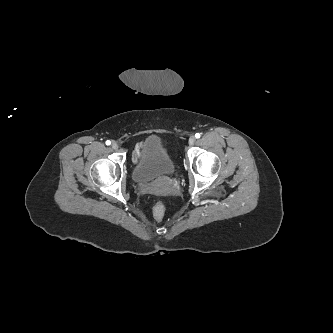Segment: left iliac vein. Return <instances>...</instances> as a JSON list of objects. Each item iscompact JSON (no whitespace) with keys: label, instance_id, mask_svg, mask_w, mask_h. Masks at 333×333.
<instances>
[{"label":"left iliac vein","instance_id":"1","mask_svg":"<svg viewBox=\"0 0 333 333\" xmlns=\"http://www.w3.org/2000/svg\"><path fill=\"white\" fill-rule=\"evenodd\" d=\"M195 141H196V138L194 136H191L189 138V145H193L195 143Z\"/></svg>","mask_w":333,"mask_h":333}]
</instances>
